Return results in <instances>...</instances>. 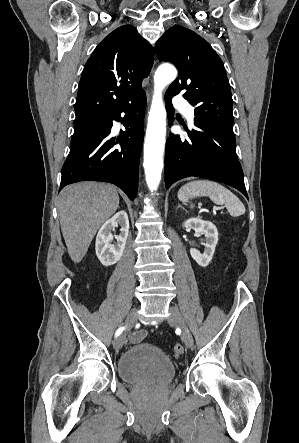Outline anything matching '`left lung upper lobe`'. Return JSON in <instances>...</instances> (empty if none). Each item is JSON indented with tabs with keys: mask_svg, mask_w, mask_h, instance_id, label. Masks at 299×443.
Returning <instances> with one entry per match:
<instances>
[{
	"mask_svg": "<svg viewBox=\"0 0 299 443\" xmlns=\"http://www.w3.org/2000/svg\"><path fill=\"white\" fill-rule=\"evenodd\" d=\"M160 61L172 62L179 76L166 95L184 91L183 97L195 107L194 121H206L233 132V100L222 60L211 45L183 26L169 28L157 41Z\"/></svg>",
	"mask_w": 299,
	"mask_h": 443,
	"instance_id": "left-lung-upper-lobe-1",
	"label": "left lung upper lobe"
}]
</instances>
